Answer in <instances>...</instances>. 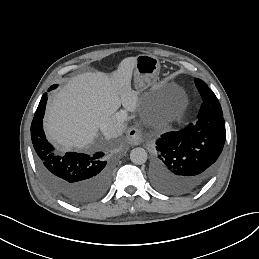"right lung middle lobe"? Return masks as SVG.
<instances>
[{
    "mask_svg": "<svg viewBox=\"0 0 259 259\" xmlns=\"http://www.w3.org/2000/svg\"><path fill=\"white\" fill-rule=\"evenodd\" d=\"M57 87V85H52L49 89H55Z\"/></svg>",
    "mask_w": 259,
    "mask_h": 259,
    "instance_id": "right-lung-middle-lobe-1",
    "label": "right lung middle lobe"
}]
</instances>
